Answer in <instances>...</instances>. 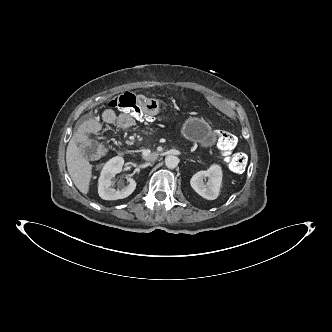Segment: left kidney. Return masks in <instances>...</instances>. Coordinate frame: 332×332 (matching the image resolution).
Wrapping results in <instances>:
<instances>
[{
    "mask_svg": "<svg viewBox=\"0 0 332 332\" xmlns=\"http://www.w3.org/2000/svg\"><path fill=\"white\" fill-rule=\"evenodd\" d=\"M208 177V182L204 179ZM191 187L203 198L214 200L218 197L222 184V170L219 165H212L207 171H199L190 180Z\"/></svg>",
    "mask_w": 332,
    "mask_h": 332,
    "instance_id": "obj_1",
    "label": "left kidney"
}]
</instances>
